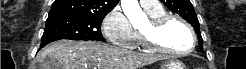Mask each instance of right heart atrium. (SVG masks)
I'll use <instances>...</instances> for the list:
<instances>
[{
    "label": "right heart atrium",
    "instance_id": "d8ad5b80",
    "mask_svg": "<svg viewBox=\"0 0 246 69\" xmlns=\"http://www.w3.org/2000/svg\"><path fill=\"white\" fill-rule=\"evenodd\" d=\"M106 39L117 46L131 47L136 40V32L122 9L110 11L102 23Z\"/></svg>",
    "mask_w": 246,
    "mask_h": 69
}]
</instances>
